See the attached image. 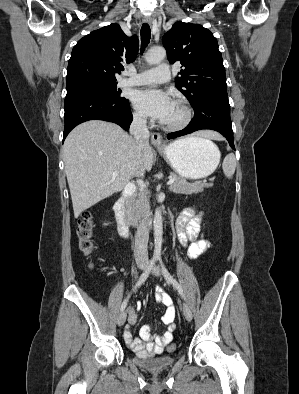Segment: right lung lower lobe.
Instances as JSON below:
<instances>
[{"label":"right lung lower lobe","instance_id":"obj_1","mask_svg":"<svg viewBox=\"0 0 299 394\" xmlns=\"http://www.w3.org/2000/svg\"><path fill=\"white\" fill-rule=\"evenodd\" d=\"M64 110L63 140L75 126L88 120L114 122L128 130L133 119L128 100L116 102L110 96L98 92L67 94Z\"/></svg>","mask_w":299,"mask_h":394}]
</instances>
